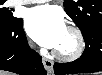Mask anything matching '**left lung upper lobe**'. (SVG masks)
Listing matches in <instances>:
<instances>
[{
	"instance_id": "1",
	"label": "left lung upper lobe",
	"mask_w": 102,
	"mask_h": 75,
	"mask_svg": "<svg viewBox=\"0 0 102 75\" xmlns=\"http://www.w3.org/2000/svg\"><path fill=\"white\" fill-rule=\"evenodd\" d=\"M64 6L81 31L102 27V0H64Z\"/></svg>"
}]
</instances>
